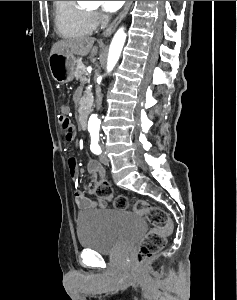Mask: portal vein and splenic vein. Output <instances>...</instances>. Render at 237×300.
Returning a JSON list of instances; mask_svg holds the SVG:
<instances>
[{
  "instance_id": "1",
  "label": "portal vein and splenic vein",
  "mask_w": 237,
  "mask_h": 300,
  "mask_svg": "<svg viewBox=\"0 0 237 300\" xmlns=\"http://www.w3.org/2000/svg\"><path fill=\"white\" fill-rule=\"evenodd\" d=\"M82 79H83V80H86V77H83Z\"/></svg>"
}]
</instances>
